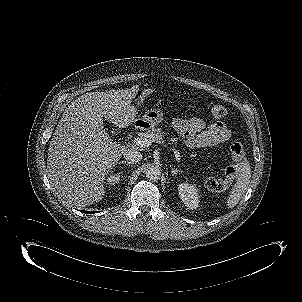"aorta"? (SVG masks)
<instances>
[{
  "label": "aorta",
  "instance_id": "1",
  "mask_svg": "<svg viewBox=\"0 0 302 302\" xmlns=\"http://www.w3.org/2000/svg\"><path fill=\"white\" fill-rule=\"evenodd\" d=\"M160 176H161V171L156 166H151L146 170V177L149 180L156 181L160 179Z\"/></svg>",
  "mask_w": 302,
  "mask_h": 302
}]
</instances>
